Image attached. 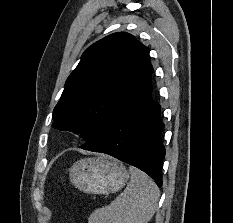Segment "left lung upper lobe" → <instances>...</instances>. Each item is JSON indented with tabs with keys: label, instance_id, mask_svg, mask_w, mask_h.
I'll return each instance as SVG.
<instances>
[{
	"label": "left lung upper lobe",
	"instance_id": "obj_1",
	"mask_svg": "<svg viewBox=\"0 0 233 223\" xmlns=\"http://www.w3.org/2000/svg\"><path fill=\"white\" fill-rule=\"evenodd\" d=\"M149 52L125 32L91 45L65 83L53 127L79 134L88 144L152 71Z\"/></svg>",
	"mask_w": 233,
	"mask_h": 223
}]
</instances>
